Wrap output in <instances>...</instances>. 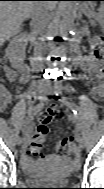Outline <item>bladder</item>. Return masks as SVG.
I'll return each mask as SVG.
<instances>
[{
    "label": "bladder",
    "mask_w": 104,
    "mask_h": 189,
    "mask_svg": "<svg viewBox=\"0 0 104 189\" xmlns=\"http://www.w3.org/2000/svg\"><path fill=\"white\" fill-rule=\"evenodd\" d=\"M79 169V164L70 159L50 155L43 157L39 163L24 170L26 179L35 185H65L71 175Z\"/></svg>",
    "instance_id": "31cf9c89"
}]
</instances>
